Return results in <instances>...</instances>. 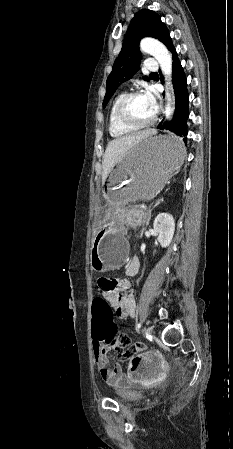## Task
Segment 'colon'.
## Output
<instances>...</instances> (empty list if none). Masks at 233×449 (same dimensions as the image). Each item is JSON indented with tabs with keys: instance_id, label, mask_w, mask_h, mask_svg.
I'll return each instance as SVG.
<instances>
[{
	"instance_id": "obj_1",
	"label": "colon",
	"mask_w": 233,
	"mask_h": 449,
	"mask_svg": "<svg viewBox=\"0 0 233 449\" xmlns=\"http://www.w3.org/2000/svg\"><path fill=\"white\" fill-rule=\"evenodd\" d=\"M102 290V288L100 287ZM103 291V290H102ZM92 319L89 321L92 336L93 349L120 350V358H129L131 372L135 373L137 368H142L145 359L142 352L144 344L141 342L131 343L127 335L118 334L113 323L114 312L111 310L108 301L99 300L92 302Z\"/></svg>"
}]
</instances>
